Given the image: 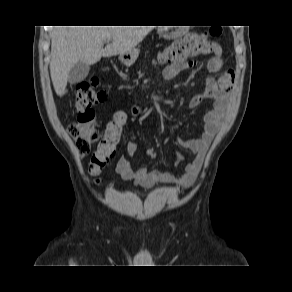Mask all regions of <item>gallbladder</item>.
Returning <instances> with one entry per match:
<instances>
[{
	"label": "gallbladder",
	"mask_w": 292,
	"mask_h": 292,
	"mask_svg": "<svg viewBox=\"0 0 292 292\" xmlns=\"http://www.w3.org/2000/svg\"><path fill=\"white\" fill-rule=\"evenodd\" d=\"M89 70L90 65L83 62H78L69 71L68 82L71 84H76L83 81L87 77Z\"/></svg>",
	"instance_id": "gallbladder-1"
}]
</instances>
